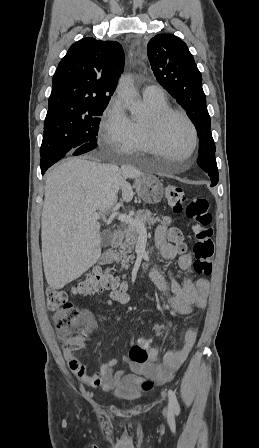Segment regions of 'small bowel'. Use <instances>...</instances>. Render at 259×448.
<instances>
[{
    "mask_svg": "<svg viewBox=\"0 0 259 448\" xmlns=\"http://www.w3.org/2000/svg\"><path fill=\"white\" fill-rule=\"evenodd\" d=\"M155 246L164 260L175 259L182 251L181 248L167 240V227L160 225L155 231ZM193 250H187L179 255V267L187 274H193ZM196 272V271H195ZM197 273V272H196ZM150 277L156 287L166 297L169 307L182 315H190L197 310L205 309L208 302L210 284L205 278L191 280L188 277L181 281L177 280L171 272H168L170 283L166 281L164 275L156 269L150 271ZM130 296L124 293H111L110 298L103 303L112 305L114 303L128 304ZM170 322L156 324L153 331L156 335H162L169 327ZM197 338V331L194 328L186 330L184 343L178 349H169L162 363L159 361V351L156 348L148 350V360L139 364L124 356L123 359L129 363L131 372L117 370V360L110 359L103 363L98 372L90 374L83 363L74 355L73 351L65 350V358L70 370L84 384L101 387L109 391L116 387H127L135 390H149L153 383H165L174 372L187 359Z\"/></svg>",
    "mask_w": 259,
    "mask_h": 448,
    "instance_id": "1",
    "label": "small bowel"
}]
</instances>
